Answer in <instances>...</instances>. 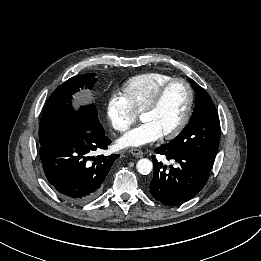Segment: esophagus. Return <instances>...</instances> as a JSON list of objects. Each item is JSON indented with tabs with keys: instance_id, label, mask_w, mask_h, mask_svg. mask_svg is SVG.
Listing matches in <instances>:
<instances>
[{
	"instance_id": "34e87169",
	"label": "esophagus",
	"mask_w": 261,
	"mask_h": 261,
	"mask_svg": "<svg viewBox=\"0 0 261 261\" xmlns=\"http://www.w3.org/2000/svg\"><path fill=\"white\" fill-rule=\"evenodd\" d=\"M130 153L133 155V156H141L143 154V152L140 150V149H137V148H132L130 150Z\"/></svg>"
}]
</instances>
